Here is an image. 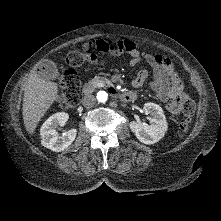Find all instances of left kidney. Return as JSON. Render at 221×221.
<instances>
[{
    "mask_svg": "<svg viewBox=\"0 0 221 221\" xmlns=\"http://www.w3.org/2000/svg\"><path fill=\"white\" fill-rule=\"evenodd\" d=\"M145 114L152 115L150 124L130 122V129L137 139L144 144H154L162 139L168 129L166 117L162 108L155 103L144 104Z\"/></svg>",
    "mask_w": 221,
    "mask_h": 221,
    "instance_id": "obj_1",
    "label": "left kidney"
}]
</instances>
